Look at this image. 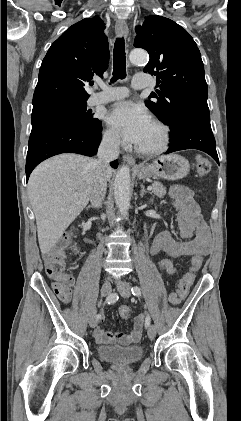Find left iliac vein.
Segmentation results:
<instances>
[{
    "mask_svg": "<svg viewBox=\"0 0 241 421\" xmlns=\"http://www.w3.org/2000/svg\"><path fill=\"white\" fill-rule=\"evenodd\" d=\"M131 286L128 282L123 281V280H119L117 282V289L120 293V295L124 298H128L131 295V290H130ZM148 337L150 339H153L156 335V328L154 325H149L148 327V331H147Z\"/></svg>",
    "mask_w": 241,
    "mask_h": 421,
    "instance_id": "1",
    "label": "left iliac vein"
}]
</instances>
